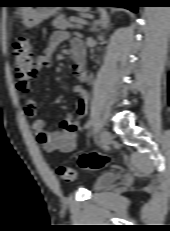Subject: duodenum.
Wrapping results in <instances>:
<instances>
[{
    "instance_id": "obj_1",
    "label": "duodenum",
    "mask_w": 170,
    "mask_h": 231,
    "mask_svg": "<svg viewBox=\"0 0 170 231\" xmlns=\"http://www.w3.org/2000/svg\"><path fill=\"white\" fill-rule=\"evenodd\" d=\"M73 57L75 60L76 65L78 66H83V62H84V53L82 50L76 49L73 51Z\"/></svg>"
}]
</instances>
